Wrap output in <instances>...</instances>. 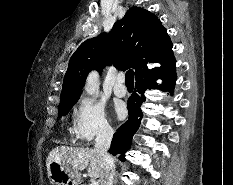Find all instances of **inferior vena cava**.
Here are the masks:
<instances>
[{"label": "inferior vena cava", "mask_w": 233, "mask_h": 185, "mask_svg": "<svg viewBox=\"0 0 233 185\" xmlns=\"http://www.w3.org/2000/svg\"><path fill=\"white\" fill-rule=\"evenodd\" d=\"M113 134V129L106 125L100 129L95 140L94 149L97 153H99L103 162L100 185H113V178L115 176V162L113 157L108 153Z\"/></svg>", "instance_id": "1"}]
</instances>
